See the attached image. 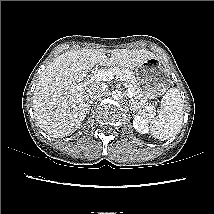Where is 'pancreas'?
Wrapping results in <instances>:
<instances>
[{
    "instance_id": "1",
    "label": "pancreas",
    "mask_w": 214,
    "mask_h": 214,
    "mask_svg": "<svg viewBox=\"0 0 214 214\" xmlns=\"http://www.w3.org/2000/svg\"><path fill=\"white\" fill-rule=\"evenodd\" d=\"M104 70L115 73L116 76H118L120 79L122 77H126L127 78L126 82L128 83V89L133 91V93H134L133 96L135 97V95L138 92V83H137L136 77L133 72L129 71L128 69L118 67V66H114V67H111L109 69H104ZM130 108L134 112L137 111V113L140 116L155 114V112H154L155 108L153 105H148V103H146V102H139V101L135 100L134 98L130 99Z\"/></svg>"
}]
</instances>
